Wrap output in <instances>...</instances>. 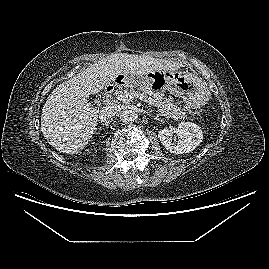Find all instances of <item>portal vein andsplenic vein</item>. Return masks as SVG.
I'll use <instances>...</instances> for the list:
<instances>
[{"label":"portal vein and splenic vein","instance_id":"1","mask_svg":"<svg viewBox=\"0 0 269 269\" xmlns=\"http://www.w3.org/2000/svg\"><path fill=\"white\" fill-rule=\"evenodd\" d=\"M133 98L134 96L128 93L120 94V95H117L116 97L117 100L122 101L123 103H129L133 100ZM146 102H149L151 104L150 101H146Z\"/></svg>","mask_w":269,"mask_h":269}]
</instances>
